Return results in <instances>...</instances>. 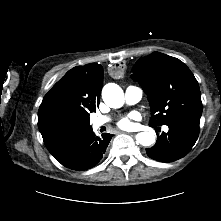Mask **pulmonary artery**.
Listing matches in <instances>:
<instances>
[{
    "instance_id": "obj_1",
    "label": "pulmonary artery",
    "mask_w": 221,
    "mask_h": 221,
    "mask_svg": "<svg viewBox=\"0 0 221 221\" xmlns=\"http://www.w3.org/2000/svg\"><path fill=\"white\" fill-rule=\"evenodd\" d=\"M143 96V91L137 86H129L125 90V100L129 104H135L141 100ZM106 119L104 117H98L92 120V126L94 129H98L105 123ZM165 131H168V127H164Z\"/></svg>"
}]
</instances>
